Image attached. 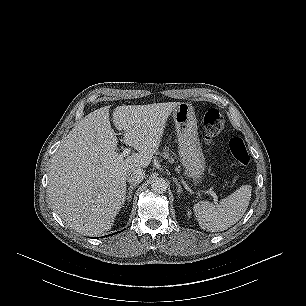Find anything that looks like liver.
Segmentation results:
<instances>
[{
    "mask_svg": "<svg viewBox=\"0 0 306 306\" xmlns=\"http://www.w3.org/2000/svg\"><path fill=\"white\" fill-rule=\"evenodd\" d=\"M179 102L123 105L113 111L125 144L137 150L126 159L117 153L109 107L85 116L53 156L48 195L54 210L73 230L97 236L109 231L124 204L130 171L149 166L166 121Z\"/></svg>",
    "mask_w": 306,
    "mask_h": 306,
    "instance_id": "liver-1",
    "label": "liver"
}]
</instances>
